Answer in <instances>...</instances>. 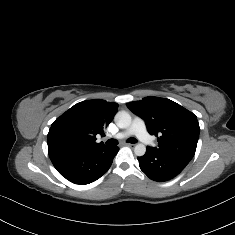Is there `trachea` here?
Returning a JSON list of instances; mask_svg holds the SVG:
<instances>
[{"label":"trachea","instance_id":"trachea-1","mask_svg":"<svg viewBox=\"0 0 235 235\" xmlns=\"http://www.w3.org/2000/svg\"><path fill=\"white\" fill-rule=\"evenodd\" d=\"M137 142V139L135 138H129L128 139V143H136ZM118 144V142L115 140V139H109L108 141H106V145H109V146H116Z\"/></svg>","mask_w":235,"mask_h":235}]
</instances>
